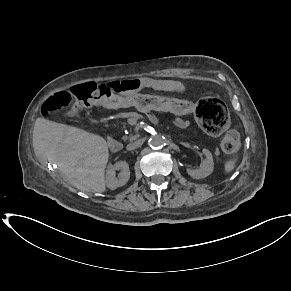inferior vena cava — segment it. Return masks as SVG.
Here are the masks:
<instances>
[{
	"instance_id": "obj_1",
	"label": "inferior vena cava",
	"mask_w": 291,
	"mask_h": 291,
	"mask_svg": "<svg viewBox=\"0 0 291 291\" xmlns=\"http://www.w3.org/2000/svg\"><path fill=\"white\" fill-rule=\"evenodd\" d=\"M142 144H143V140L139 139L135 142L128 144L126 148H127V150L131 151V150L139 148Z\"/></svg>"
}]
</instances>
